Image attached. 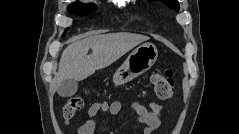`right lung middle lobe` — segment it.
Segmentation results:
<instances>
[{
    "label": "right lung middle lobe",
    "instance_id": "dd1d6c3e",
    "mask_svg": "<svg viewBox=\"0 0 239 134\" xmlns=\"http://www.w3.org/2000/svg\"><path fill=\"white\" fill-rule=\"evenodd\" d=\"M95 8L96 7L94 4L85 5L82 3L74 2L68 6V11H70L71 13L76 14V15H83V14L92 12ZM67 30L68 29H66L65 32Z\"/></svg>",
    "mask_w": 239,
    "mask_h": 134
}]
</instances>
